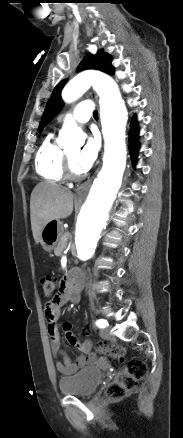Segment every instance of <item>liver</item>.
<instances>
[{
	"label": "liver",
	"mask_w": 183,
	"mask_h": 438,
	"mask_svg": "<svg viewBox=\"0 0 183 438\" xmlns=\"http://www.w3.org/2000/svg\"><path fill=\"white\" fill-rule=\"evenodd\" d=\"M73 193L58 184L42 182L35 186L30 198V217L33 237L40 235L47 223L67 218L73 211Z\"/></svg>",
	"instance_id": "6515ba94"
}]
</instances>
